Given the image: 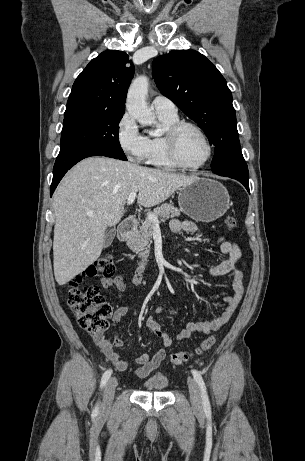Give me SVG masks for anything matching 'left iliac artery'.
<instances>
[{"label":"left iliac artery","instance_id":"44dca946","mask_svg":"<svg viewBox=\"0 0 305 461\" xmlns=\"http://www.w3.org/2000/svg\"><path fill=\"white\" fill-rule=\"evenodd\" d=\"M192 374H193V377L196 380V382H197V384H198V386L200 388V391H201L203 409H204L206 415L210 416L211 415V406H210V402H209V398H208V394H207V390H206L204 380H203L201 374L197 370H192Z\"/></svg>","mask_w":305,"mask_h":461}]
</instances>
